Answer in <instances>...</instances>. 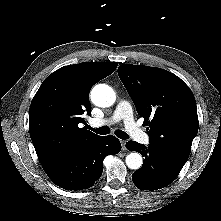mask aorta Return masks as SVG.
<instances>
[{
	"label": "aorta",
	"instance_id": "1",
	"mask_svg": "<svg viewBox=\"0 0 221 221\" xmlns=\"http://www.w3.org/2000/svg\"><path fill=\"white\" fill-rule=\"evenodd\" d=\"M91 100L99 107H110L116 100L114 90L106 84H98L91 90ZM142 156L137 152H132L126 156L128 168L137 170L142 166Z\"/></svg>",
	"mask_w": 221,
	"mask_h": 221
}]
</instances>
